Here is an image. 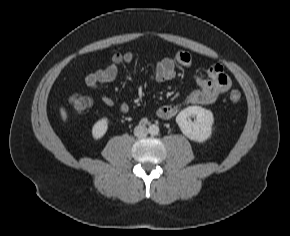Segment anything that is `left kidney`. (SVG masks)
I'll return each instance as SVG.
<instances>
[{"label":"left kidney","instance_id":"1","mask_svg":"<svg viewBox=\"0 0 290 236\" xmlns=\"http://www.w3.org/2000/svg\"><path fill=\"white\" fill-rule=\"evenodd\" d=\"M191 117H195L194 121ZM176 123L182 133L190 140L204 142L212 134L214 123L213 113L200 106H189L183 109L176 117Z\"/></svg>","mask_w":290,"mask_h":236}]
</instances>
